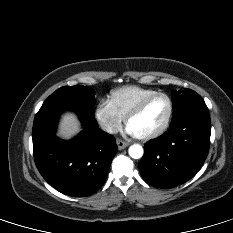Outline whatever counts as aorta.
Returning <instances> with one entry per match:
<instances>
[{
    "label": "aorta",
    "instance_id": "1",
    "mask_svg": "<svg viewBox=\"0 0 233 233\" xmlns=\"http://www.w3.org/2000/svg\"><path fill=\"white\" fill-rule=\"evenodd\" d=\"M128 153L133 159H140L143 156L144 150L141 145L133 144L129 147Z\"/></svg>",
    "mask_w": 233,
    "mask_h": 233
}]
</instances>
